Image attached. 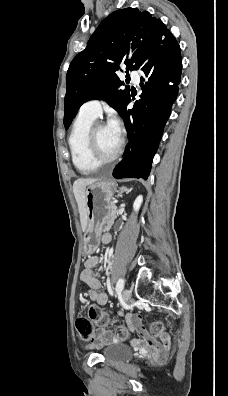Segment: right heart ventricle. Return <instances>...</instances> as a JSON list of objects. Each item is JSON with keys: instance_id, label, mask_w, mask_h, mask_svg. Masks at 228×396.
<instances>
[{"instance_id": "e07e8e85", "label": "right heart ventricle", "mask_w": 228, "mask_h": 396, "mask_svg": "<svg viewBox=\"0 0 228 396\" xmlns=\"http://www.w3.org/2000/svg\"><path fill=\"white\" fill-rule=\"evenodd\" d=\"M94 119L80 113L74 122L68 139L72 161L83 174L94 173L99 167L90 160L87 152V134L94 123Z\"/></svg>"}]
</instances>
